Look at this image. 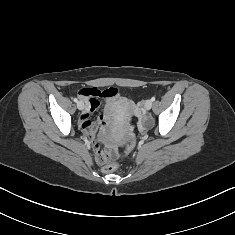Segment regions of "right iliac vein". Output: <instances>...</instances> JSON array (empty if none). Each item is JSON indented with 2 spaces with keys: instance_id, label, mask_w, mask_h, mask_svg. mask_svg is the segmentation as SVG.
<instances>
[{
  "instance_id": "obj_1",
  "label": "right iliac vein",
  "mask_w": 235,
  "mask_h": 235,
  "mask_svg": "<svg viewBox=\"0 0 235 235\" xmlns=\"http://www.w3.org/2000/svg\"><path fill=\"white\" fill-rule=\"evenodd\" d=\"M77 108H78L79 110H82V109L84 108V103H83L82 101H79V102L77 103Z\"/></svg>"
}]
</instances>
